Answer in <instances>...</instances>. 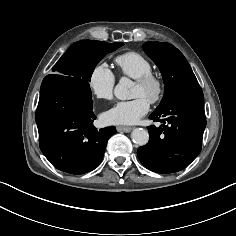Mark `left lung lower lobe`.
Returning <instances> with one entry per match:
<instances>
[{
  "mask_svg": "<svg viewBox=\"0 0 236 236\" xmlns=\"http://www.w3.org/2000/svg\"><path fill=\"white\" fill-rule=\"evenodd\" d=\"M149 118L163 124L148 127L149 142L137 151L141 163L161 174L186 168L201 151L206 126L201 88L178 92Z\"/></svg>",
  "mask_w": 236,
  "mask_h": 236,
  "instance_id": "left-lung-lower-lobe-1",
  "label": "left lung lower lobe"
}]
</instances>
